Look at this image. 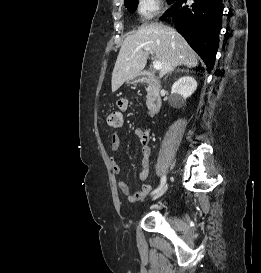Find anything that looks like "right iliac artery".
Wrapping results in <instances>:
<instances>
[{
  "label": "right iliac artery",
  "mask_w": 261,
  "mask_h": 273,
  "mask_svg": "<svg viewBox=\"0 0 261 273\" xmlns=\"http://www.w3.org/2000/svg\"><path fill=\"white\" fill-rule=\"evenodd\" d=\"M165 182H166V176L163 175L162 178H161L160 186H159L157 189H155V190L152 192V194L157 193V192L164 186Z\"/></svg>",
  "instance_id": "right-iliac-artery-1"
}]
</instances>
